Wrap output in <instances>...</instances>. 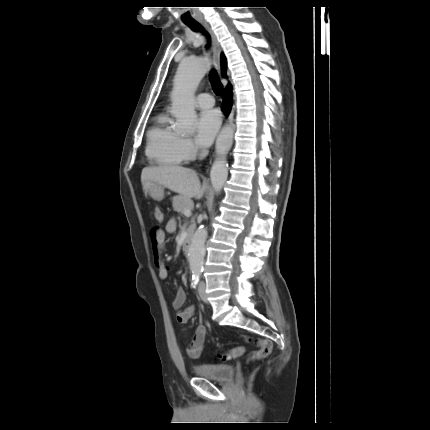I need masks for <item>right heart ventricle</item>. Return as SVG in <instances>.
<instances>
[{
  "label": "right heart ventricle",
  "instance_id": "1",
  "mask_svg": "<svg viewBox=\"0 0 430 430\" xmlns=\"http://www.w3.org/2000/svg\"><path fill=\"white\" fill-rule=\"evenodd\" d=\"M180 135L169 124V117L161 114L147 132L146 156L152 164L176 167L185 160L180 149Z\"/></svg>",
  "mask_w": 430,
  "mask_h": 430
}]
</instances>
